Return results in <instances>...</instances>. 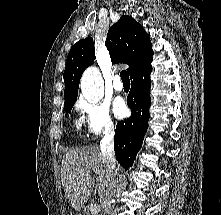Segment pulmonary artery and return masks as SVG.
I'll use <instances>...</instances> for the list:
<instances>
[{"label": "pulmonary artery", "instance_id": "obj_1", "mask_svg": "<svg viewBox=\"0 0 221 215\" xmlns=\"http://www.w3.org/2000/svg\"><path fill=\"white\" fill-rule=\"evenodd\" d=\"M123 83L121 81V77L119 75H116L114 78H113V88L116 90V91H122L123 90Z\"/></svg>", "mask_w": 221, "mask_h": 215}]
</instances>
